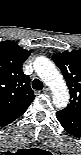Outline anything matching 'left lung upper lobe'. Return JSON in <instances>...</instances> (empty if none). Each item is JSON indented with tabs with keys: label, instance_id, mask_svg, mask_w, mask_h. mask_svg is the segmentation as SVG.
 <instances>
[{
	"label": "left lung upper lobe",
	"instance_id": "5c2ea615",
	"mask_svg": "<svg viewBox=\"0 0 81 155\" xmlns=\"http://www.w3.org/2000/svg\"><path fill=\"white\" fill-rule=\"evenodd\" d=\"M53 61L61 69L67 82L71 100L63 110L71 115L81 117V54L79 50L53 55Z\"/></svg>",
	"mask_w": 81,
	"mask_h": 155
}]
</instances>
